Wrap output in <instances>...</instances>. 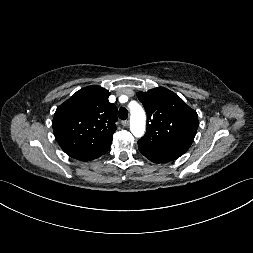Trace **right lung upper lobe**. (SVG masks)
I'll return each instance as SVG.
<instances>
[{
    "mask_svg": "<svg viewBox=\"0 0 253 253\" xmlns=\"http://www.w3.org/2000/svg\"><path fill=\"white\" fill-rule=\"evenodd\" d=\"M109 96V91L100 86H88L56 109L53 131L67 155L78 158L111 144L118 118Z\"/></svg>",
    "mask_w": 253,
    "mask_h": 253,
    "instance_id": "obj_1",
    "label": "right lung upper lobe"
}]
</instances>
